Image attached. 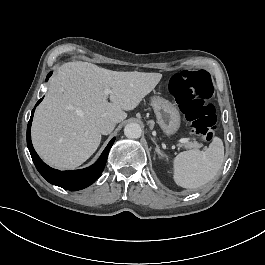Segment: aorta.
<instances>
[{"label": "aorta", "mask_w": 265, "mask_h": 265, "mask_svg": "<svg viewBox=\"0 0 265 265\" xmlns=\"http://www.w3.org/2000/svg\"><path fill=\"white\" fill-rule=\"evenodd\" d=\"M142 130L140 125L135 123L127 124L124 128V135L130 139L140 138Z\"/></svg>", "instance_id": "obj_1"}]
</instances>
